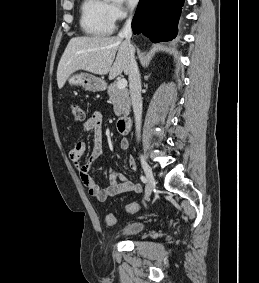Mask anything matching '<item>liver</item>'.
Wrapping results in <instances>:
<instances>
[{
  "label": "liver",
  "mask_w": 259,
  "mask_h": 283,
  "mask_svg": "<svg viewBox=\"0 0 259 283\" xmlns=\"http://www.w3.org/2000/svg\"><path fill=\"white\" fill-rule=\"evenodd\" d=\"M129 65V47L119 36L74 37L69 41L59 61L57 84L61 89L68 77L78 70L97 75L109 73V78H115L122 72L128 75Z\"/></svg>",
  "instance_id": "obj_1"
}]
</instances>
